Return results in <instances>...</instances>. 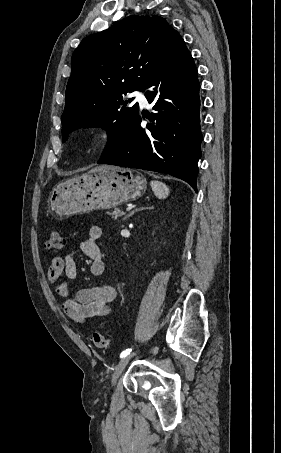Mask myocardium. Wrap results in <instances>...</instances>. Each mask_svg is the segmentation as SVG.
Masks as SVG:
<instances>
[{
	"mask_svg": "<svg viewBox=\"0 0 281 453\" xmlns=\"http://www.w3.org/2000/svg\"><path fill=\"white\" fill-rule=\"evenodd\" d=\"M87 140L90 142L91 146L99 147L107 144L111 140V133L107 129L99 128L92 131Z\"/></svg>",
	"mask_w": 281,
	"mask_h": 453,
	"instance_id": "myocardium-1",
	"label": "myocardium"
}]
</instances>
